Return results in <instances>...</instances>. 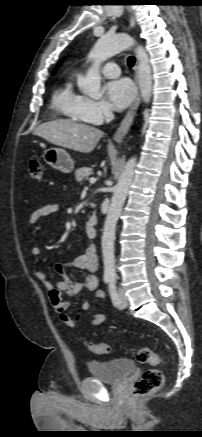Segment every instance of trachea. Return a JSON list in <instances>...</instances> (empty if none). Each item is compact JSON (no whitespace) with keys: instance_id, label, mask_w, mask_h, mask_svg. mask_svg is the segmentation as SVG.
Masks as SVG:
<instances>
[{"instance_id":"obj_1","label":"trachea","mask_w":202,"mask_h":437,"mask_svg":"<svg viewBox=\"0 0 202 437\" xmlns=\"http://www.w3.org/2000/svg\"><path fill=\"white\" fill-rule=\"evenodd\" d=\"M127 63H128L129 67H133V65L135 63V57H133V56L128 57Z\"/></svg>"}]
</instances>
